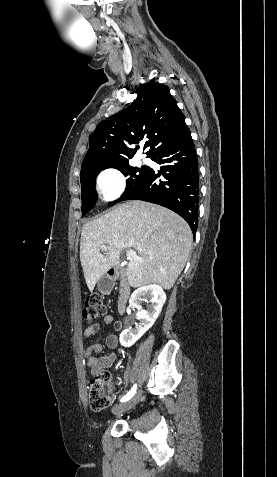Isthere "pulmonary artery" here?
Segmentation results:
<instances>
[{
	"instance_id": "1",
	"label": "pulmonary artery",
	"mask_w": 277,
	"mask_h": 477,
	"mask_svg": "<svg viewBox=\"0 0 277 477\" xmlns=\"http://www.w3.org/2000/svg\"><path fill=\"white\" fill-rule=\"evenodd\" d=\"M141 161H142V162H144V161H145V159H141Z\"/></svg>"
}]
</instances>
